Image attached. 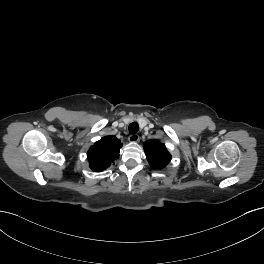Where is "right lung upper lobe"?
I'll use <instances>...</instances> for the list:
<instances>
[{
    "instance_id": "obj_1",
    "label": "right lung upper lobe",
    "mask_w": 264,
    "mask_h": 264,
    "mask_svg": "<svg viewBox=\"0 0 264 264\" xmlns=\"http://www.w3.org/2000/svg\"><path fill=\"white\" fill-rule=\"evenodd\" d=\"M122 147L120 140L115 136H106L90 147L87 157L90 168L100 172L108 168L116 158L119 157V150Z\"/></svg>"
}]
</instances>
